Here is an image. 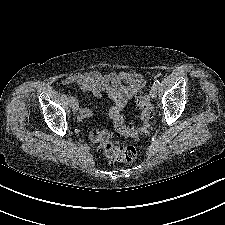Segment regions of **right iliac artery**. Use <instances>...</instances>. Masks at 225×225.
I'll use <instances>...</instances> for the list:
<instances>
[{"mask_svg":"<svg viewBox=\"0 0 225 225\" xmlns=\"http://www.w3.org/2000/svg\"><path fill=\"white\" fill-rule=\"evenodd\" d=\"M69 99H70V102L72 101L73 97L72 96H69Z\"/></svg>","mask_w":225,"mask_h":225,"instance_id":"1","label":"right iliac artery"}]
</instances>
